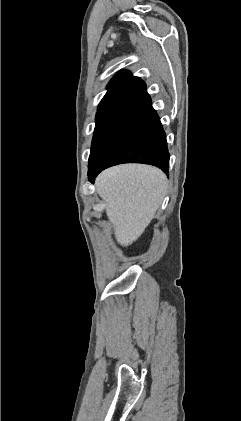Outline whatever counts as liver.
Instances as JSON below:
<instances>
[{
    "instance_id": "liver-1",
    "label": "liver",
    "mask_w": 241,
    "mask_h": 421,
    "mask_svg": "<svg viewBox=\"0 0 241 421\" xmlns=\"http://www.w3.org/2000/svg\"><path fill=\"white\" fill-rule=\"evenodd\" d=\"M95 186L106 204L117 242L127 247L153 219L166 195L168 181L156 167L123 164L103 171Z\"/></svg>"
}]
</instances>
